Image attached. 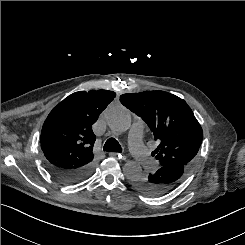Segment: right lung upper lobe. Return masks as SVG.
Segmentation results:
<instances>
[{
	"label": "right lung upper lobe",
	"instance_id": "right-lung-upper-lobe-1",
	"mask_svg": "<svg viewBox=\"0 0 245 245\" xmlns=\"http://www.w3.org/2000/svg\"><path fill=\"white\" fill-rule=\"evenodd\" d=\"M115 96L108 90L79 91L61 101L42 127L45 164L66 170L92 164L96 137L91 126Z\"/></svg>",
	"mask_w": 245,
	"mask_h": 245
}]
</instances>
